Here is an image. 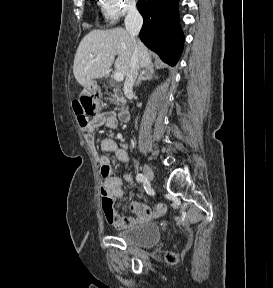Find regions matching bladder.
<instances>
[{"instance_id": "1", "label": "bladder", "mask_w": 273, "mask_h": 288, "mask_svg": "<svg viewBox=\"0 0 273 288\" xmlns=\"http://www.w3.org/2000/svg\"><path fill=\"white\" fill-rule=\"evenodd\" d=\"M117 238L136 248H152L162 237L161 230L156 223L148 222L125 228L115 234Z\"/></svg>"}]
</instances>
